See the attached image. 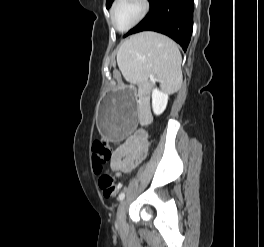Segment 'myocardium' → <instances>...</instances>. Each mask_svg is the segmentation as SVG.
<instances>
[{
  "instance_id": "myocardium-1",
  "label": "myocardium",
  "mask_w": 264,
  "mask_h": 247,
  "mask_svg": "<svg viewBox=\"0 0 264 247\" xmlns=\"http://www.w3.org/2000/svg\"><path fill=\"white\" fill-rule=\"evenodd\" d=\"M121 2V0H114L111 8H110V23L111 25L119 32H126L135 27L137 24H139L148 14L150 10V1L149 0H139L141 4V11L138 15V17L127 27L125 28H119L114 23V11L117 5Z\"/></svg>"
}]
</instances>
